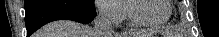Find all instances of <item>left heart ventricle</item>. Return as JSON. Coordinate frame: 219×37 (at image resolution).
I'll use <instances>...</instances> for the list:
<instances>
[{"label":"left heart ventricle","instance_id":"left-heart-ventricle-1","mask_svg":"<svg viewBox=\"0 0 219 37\" xmlns=\"http://www.w3.org/2000/svg\"><path fill=\"white\" fill-rule=\"evenodd\" d=\"M136 15L147 21H160L168 14L163 0H143L134 4Z\"/></svg>","mask_w":219,"mask_h":37}]
</instances>
